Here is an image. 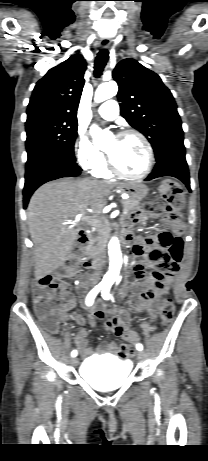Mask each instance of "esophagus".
<instances>
[{
	"instance_id": "esophagus-1",
	"label": "esophagus",
	"mask_w": 208,
	"mask_h": 461,
	"mask_svg": "<svg viewBox=\"0 0 208 461\" xmlns=\"http://www.w3.org/2000/svg\"><path fill=\"white\" fill-rule=\"evenodd\" d=\"M110 45V41L108 39H102L100 42V46L103 48H107Z\"/></svg>"
}]
</instances>
